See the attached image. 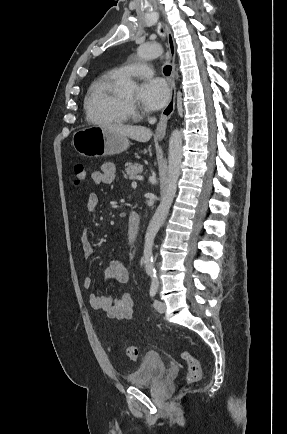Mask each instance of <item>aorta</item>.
Returning <instances> with one entry per match:
<instances>
[{
	"mask_svg": "<svg viewBox=\"0 0 287 434\" xmlns=\"http://www.w3.org/2000/svg\"><path fill=\"white\" fill-rule=\"evenodd\" d=\"M163 48L158 43L142 44L137 49V55L140 59L150 60L161 56ZM136 88L134 81L128 79L125 83V91L133 92ZM182 162V133L175 129L169 139V153H168V181L166 193L163 196L160 205L156 209V212L149 223V226L145 235V244L143 252V262L147 273H153L154 258L152 248L154 245V239L163 225L172 202L174 200L177 184L180 175V167Z\"/></svg>",
	"mask_w": 287,
	"mask_h": 434,
	"instance_id": "aorta-1",
	"label": "aorta"
}]
</instances>
